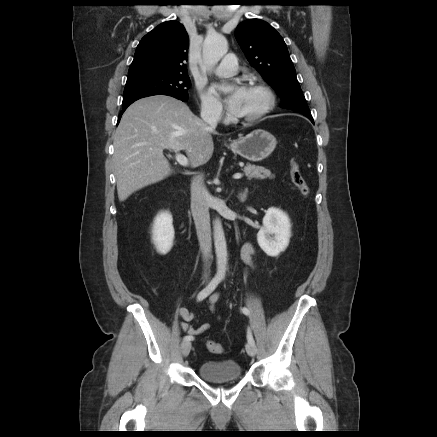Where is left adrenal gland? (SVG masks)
I'll use <instances>...</instances> for the list:
<instances>
[{
	"mask_svg": "<svg viewBox=\"0 0 437 437\" xmlns=\"http://www.w3.org/2000/svg\"><path fill=\"white\" fill-rule=\"evenodd\" d=\"M247 193H248V190L246 188L243 193L239 194V198L242 202H244L246 200Z\"/></svg>",
	"mask_w": 437,
	"mask_h": 437,
	"instance_id": "obj_1",
	"label": "left adrenal gland"
}]
</instances>
